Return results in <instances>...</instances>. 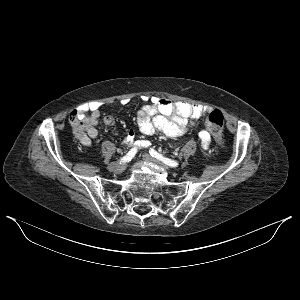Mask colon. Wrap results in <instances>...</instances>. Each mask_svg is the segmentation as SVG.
Listing matches in <instances>:
<instances>
[{"label":"colon","mask_w":300,"mask_h":300,"mask_svg":"<svg viewBox=\"0 0 300 300\" xmlns=\"http://www.w3.org/2000/svg\"><path fill=\"white\" fill-rule=\"evenodd\" d=\"M70 124L77 131L82 133L84 123L78 113H72L69 118ZM206 128L211 132L219 142L220 147H223L222 130L224 126V115L223 113L215 109L207 114L205 118Z\"/></svg>","instance_id":"colon-1"}]
</instances>
